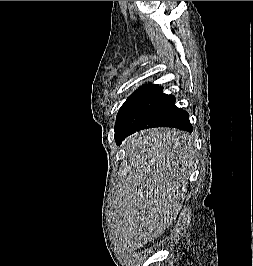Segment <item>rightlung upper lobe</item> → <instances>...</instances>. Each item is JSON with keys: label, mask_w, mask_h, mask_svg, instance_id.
Masks as SVG:
<instances>
[{"label": "right lung upper lobe", "mask_w": 253, "mask_h": 266, "mask_svg": "<svg viewBox=\"0 0 253 266\" xmlns=\"http://www.w3.org/2000/svg\"><path fill=\"white\" fill-rule=\"evenodd\" d=\"M156 87H160V86L155 85V84L143 85V86H141L138 90H136L135 93H136V92H140V91H144V90L153 89V88H156Z\"/></svg>", "instance_id": "obj_1"}]
</instances>
